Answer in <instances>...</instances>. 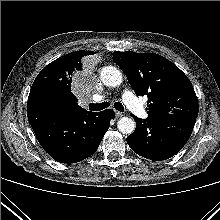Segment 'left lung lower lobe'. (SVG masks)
<instances>
[{
    "label": "left lung lower lobe",
    "mask_w": 220,
    "mask_h": 220,
    "mask_svg": "<svg viewBox=\"0 0 220 220\" xmlns=\"http://www.w3.org/2000/svg\"><path fill=\"white\" fill-rule=\"evenodd\" d=\"M133 117L136 129L127 137V143L135 153L154 161L177 154L188 141L196 121V118L186 116L156 120Z\"/></svg>",
    "instance_id": "left-lung-lower-lobe-1"
}]
</instances>
